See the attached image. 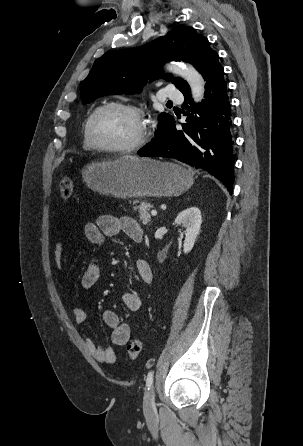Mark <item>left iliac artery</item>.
<instances>
[{"label":"left iliac artery","mask_w":303,"mask_h":446,"mask_svg":"<svg viewBox=\"0 0 303 446\" xmlns=\"http://www.w3.org/2000/svg\"><path fill=\"white\" fill-rule=\"evenodd\" d=\"M153 371H149L148 375H147V379H146V386L148 387V389L151 387L152 383H153Z\"/></svg>","instance_id":"1"}]
</instances>
